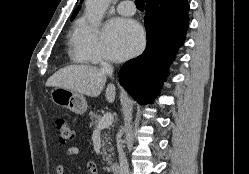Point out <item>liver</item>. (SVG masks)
<instances>
[{
  "mask_svg": "<svg viewBox=\"0 0 249 174\" xmlns=\"http://www.w3.org/2000/svg\"><path fill=\"white\" fill-rule=\"evenodd\" d=\"M106 74L99 68L90 65H70L58 70L46 82L48 87H63L82 95L98 97L106 83ZM116 90L113 84L106 89V99L112 103Z\"/></svg>",
  "mask_w": 249,
  "mask_h": 174,
  "instance_id": "liver-1",
  "label": "liver"
}]
</instances>
